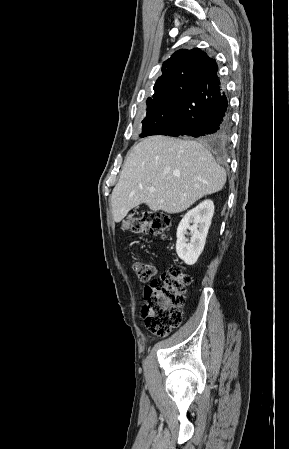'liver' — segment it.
I'll use <instances>...</instances> for the list:
<instances>
[{"instance_id":"6515ba94","label":"liver","mask_w":289,"mask_h":449,"mask_svg":"<svg viewBox=\"0 0 289 449\" xmlns=\"http://www.w3.org/2000/svg\"><path fill=\"white\" fill-rule=\"evenodd\" d=\"M225 182V170L201 143L151 136L133 147L125 160L111 195L113 219L120 222L142 203L153 211L179 213L222 190Z\"/></svg>"}]
</instances>
